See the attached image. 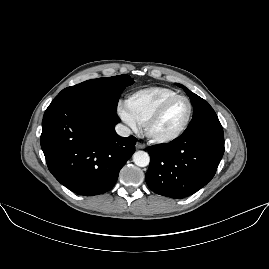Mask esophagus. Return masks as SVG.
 Masks as SVG:
<instances>
[{"instance_id": "esophagus-1", "label": "esophagus", "mask_w": 269, "mask_h": 269, "mask_svg": "<svg viewBox=\"0 0 269 269\" xmlns=\"http://www.w3.org/2000/svg\"><path fill=\"white\" fill-rule=\"evenodd\" d=\"M135 147H136V149H145L146 148L145 144L141 143V142H137Z\"/></svg>"}]
</instances>
